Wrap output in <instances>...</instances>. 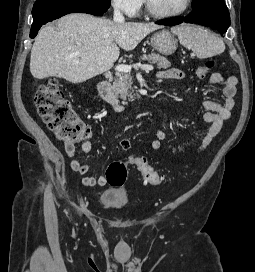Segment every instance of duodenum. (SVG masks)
<instances>
[{
	"mask_svg": "<svg viewBox=\"0 0 255 272\" xmlns=\"http://www.w3.org/2000/svg\"><path fill=\"white\" fill-rule=\"evenodd\" d=\"M96 89L99 95L111 105L115 111L121 112L123 106L121 105L118 97L114 94L111 89L110 82L108 80H101L96 84Z\"/></svg>",
	"mask_w": 255,
	"mask_h": 272,
	"instance_id": "410a0bca",
	"label": "duodenum"
}]
</instances>
